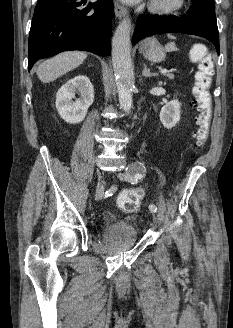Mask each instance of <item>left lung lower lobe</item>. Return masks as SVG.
Returning a JSON list of instances; mask_svg holds the SVG:
<instances>
[{
  "label": "left lung lower lobe",
  "mask_w": 233,
  "mask_h": 328,
  "mask_svg": "<svg viewBox=\"0 0 233 328\" xmlns=\"http://www.w3.org/2000/svg\"><path fill=\"white\" fill-rule=\"evenodd\" d=\"M186 33L210 40L219 54V36L215 10L194 4L187 14L176 18L138 17L132 43L157 33Z\"/></svg>",
  "instance_id": "0a47b994"
}]
</instances>
